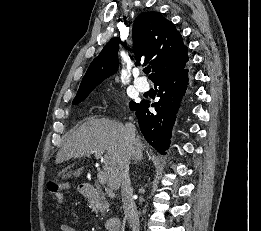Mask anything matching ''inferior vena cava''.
Returning a JSON list of instances; mask_svg holds the SVG:
<instances>
[{
  "label": "inferior vena cava",
  "instance_id": "602c4592",
  "mask_svg": "<svg viewBox=\"0 0 261 231\" xmlns=\"http://www.w3.org/2000/svg\"><path fill=\"white\" fill-rule=\"evenodd\" d=\"M125 130L126 140L131 149L132 158L135 160L141 159L142 153L138 147L134 146L135 126L131 123H127L125 125ZM121 194L125 217L128 219L130 226L132 227V231H139V218L136 210V204L133 200V189L129 176V164L126 165L122 173Z\"/></svg>",
  "mask_w": 261,
  "mask_h": 231
}]
</instances>
